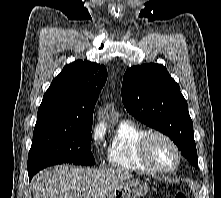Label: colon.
<instances>
[{
  "instance_id": "obj_1",
  "label": "colon",
  "mask_w": 221,
  "mask_h": 198,
  "mask_svg": "<svg viewBox=\"0 0 221 198\" xmlns=\"http://www.w3.org/2000/svg\"><path fill=\"white\" fill-rule=\"evenodd\" d=\"M174 198H186L184 193H176Z\"/></svg>"
}]
</instances>
